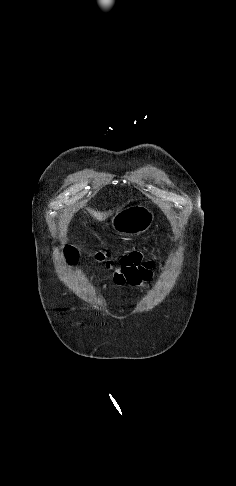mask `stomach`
<instances>
[{
	"mask_svg": "<svg viewBox=\"0 0 236 486\" xmlns=\"http://www.w3.org/2000/svg\"><path fill=\"white\" fill-rule=\"evenodd\" d=\"M154 212L144 205H134L118 212L111 220L112 228L123 235H138L149 229Z\"/></svg>",
	"mask_w": 236,
	"mask_h": 486,
	"instance_id": "0dacf381",
	"label": "stomach"
}]
</instances>
